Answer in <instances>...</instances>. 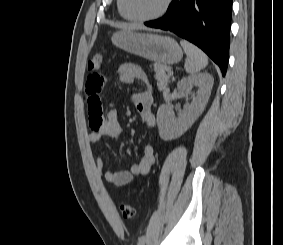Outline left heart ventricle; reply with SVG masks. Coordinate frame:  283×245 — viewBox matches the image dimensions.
<instances>
[{
    "instance_id": "left-heart-ventricle-1",
    "label": "left heart ventricle",
    "mask_w": 283,
    "mask_h": 245,
    "mask_svg": "<svg viewBox=\"0 0 283 245\" xmlns=\"http://www.w3.org/2000/svg\"><path fill=\"white\" fill-rule=\"evenodd\" d=\"M164 0H126L127 11L134 17H147L160 10Z\"/></svg>"
}]
</instances>
